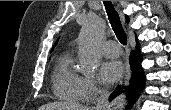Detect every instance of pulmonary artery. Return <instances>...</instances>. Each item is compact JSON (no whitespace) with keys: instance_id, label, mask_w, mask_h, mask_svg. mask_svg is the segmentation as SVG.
Listing matches in <instances>:
<instances>
[{"instance_id":"obj_1","label":"pulmonary artery","mask_w":171,"mask_h":110,"mask_svg":"<svg viewBox=\"0 0 171 110\" xmlns=\"http://www.w3.org/2000/svg\"><path fill=\"white\" fill-rule=\"evenodd\" d=\"M103 53L106 57H118L121 53V48L119 44L114 40H108L103 43L102 46Z\"/></svg>"}]
</instances>
